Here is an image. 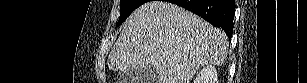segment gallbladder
<instances>
[{"label": "gallbladder", "instance_id": "obj_1", "mask_svg": "<svg viewBox=\"0 0 307 83\" xmlns=\"http://www.w3.org/2000/svg\"><path fill=\"white\" fill-rule=\"evenodd\" d=\"M157 80L158 74L151 67L134 69L121 77L123 83H156Z\"/></svg>", "mask_w": 307, "mask_h": 83}]
</instances>
